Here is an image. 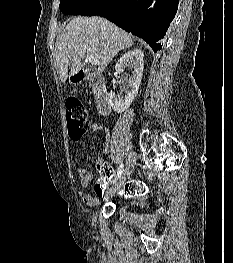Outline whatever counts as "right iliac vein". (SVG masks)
Returning <instances> with one entry per match:
<instances>
[{
    "label": "right iliac vein",
    "instance_id": "obj_1",
    "mask_svg": "<svg viewBox=\"0 0 233 263\" xmlns=\"http://www.w3.org/2000/svg\"><path fill=\"white\" fill-rule=\"evenodd\" d=\"M135 162H136V154L135 152H131L127 157L126 167H125L123 175L121 176L120 180L107 191L106 196H110L114 194L122 187L126 179L130 176Z\"/></svg>",
    "mask_w": 233,
    "mask_h": 263
}]
</instances>
